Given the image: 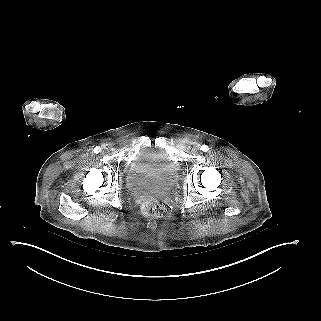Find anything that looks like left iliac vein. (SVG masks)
Masks as SVG:
<instances>
[{"instance_id": "1", "label": "left iliac vein", "mask_w": 321, "mask_h": 321, "mask_svg": "<svg viewBox=\"0 0 321 321\" xmlns=\"http://www.w3.org/2000/svg\"><path fill=\"white\" fill-rule=\"evenodd\" d=\"M199 150H200V149H199L198 147H195V148H194V153H198Z\"/></svg>"}]
</instances>
